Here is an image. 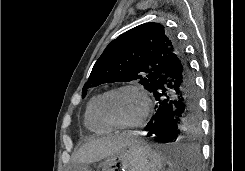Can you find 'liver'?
Wrapping results in <instances>:
<instances>
[{
    "mask_svg": "<svg viewBox=\"0 0 245 171\" xmlns=\"http://www.w3.org/2000/svg\"><path fill=\"white\" fill-rule=\"evenodd\" d=\"M136 141L134 133H122L93 139L79 148L73 157V162L78 164L97 162Z\"/></svg>",
    "mask_w": 245,
    "mask_h": 171,
    "instance_id": "liver-1",
    "label": "liver"
}]
</instances>
